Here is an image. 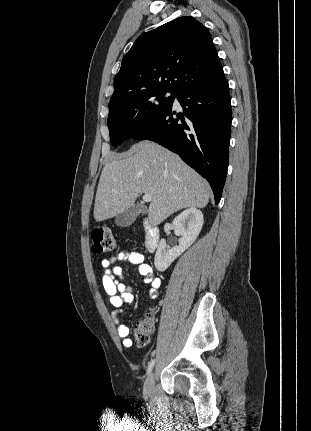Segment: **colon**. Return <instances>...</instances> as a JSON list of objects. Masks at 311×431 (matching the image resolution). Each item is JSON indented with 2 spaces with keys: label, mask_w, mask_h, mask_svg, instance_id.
<instances>
[{
  "label": "colon",
  "mask_w": 311,
  "mask_h": 431,
  "mask_svg": "<svg viewBox=\"0 0 311 431\" xmlns=\"http://www.w3.org/2000/svg\"><path fill=\"white\" fill-rule=\"evenodd\" d=\"M92 251L95 254L112 252L117 247V241L110 229L99 227L92 233ZM156 319L154 314L149 313L143 320L138 322L134 329L135 342L139 348L147 345L150 336L155 329Z\"/></svg>",
  "instance_id": "5ec220e1"
}]
</instances>
